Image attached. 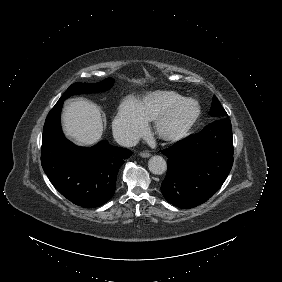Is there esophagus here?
<instances>
[{"label":"esophagus","instance_id":"obj_1","mask_svg":"<svg viewBox=\"0 0 282 282\" xmlns=\"http://www.w3.org/2000/svg\"><path fill=\"white\" fill-rule=\"evenodd\" d=\"M139 155H140L142 158H148V157L151 156V154H150L149 152H141Z\"/></svg>","mask_w":282,"mask_h":282}]
</instances>
